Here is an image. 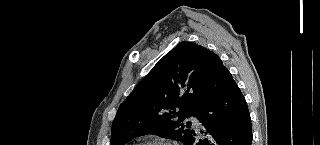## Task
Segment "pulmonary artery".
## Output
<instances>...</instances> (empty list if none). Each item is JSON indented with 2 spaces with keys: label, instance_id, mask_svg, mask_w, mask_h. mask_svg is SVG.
I'll use <instances>...</instances> for the list:
<instances>
[{
  "label": "pulmonary artery",
  "instance_id": "e3ab8cb5",
  "mask_svg": "<svg viewBox=\"0 0 320 145\" xmlns=\"http://www.w3.org/2000/svg\"><path fill=\"white\" fill-rule=\"evenodd\" d=\"M190 121L192 122V124L195 128H197V129L200 128V126H201L200 121L196 117L191 116Z\"/></svg>",
  "mask_w": 320,
  "mask_h": 145
}]
</instances>
